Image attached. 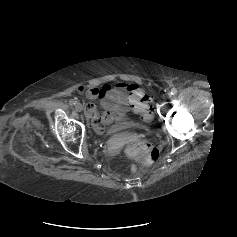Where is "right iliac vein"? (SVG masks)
<instances>
[{"label":"right iliac vein","mask_w":237,"mask_h":237,"mask_svg":"<svg viewBox=\"0 0 237 237\" xmlns=\"http://www.w3.org/2000/svg\"><path fill=\"white\" fill-rule=\"evenodd\" d=\"M75 109H76V111L81 112V111L83 110L82 104H81V103H77V104L75 105Z\"/></svg>","instance_id":"obj_1"}]
</instances>
